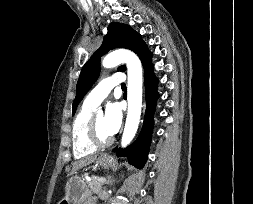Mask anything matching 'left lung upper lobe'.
Here are the masks:
<instances>
[{
  "mask_svg": "<svg viewBox=\"0 0 253 204\" xmlns=\"http://www.w3.org/2000/svg\"><path fill=\"white\" fill-rule=\"evenodd\" d=\"M123 47L135 52L142 60L148 49L139 33L126 24L112 22L108 26V32L104 37L101 47L85 63L76 86V97L73 102V114L80 101L89 91L99 76L101 56L108 51ZM126 67L121 66L118 71H125Z\"/></svg>",
  "mask_w": 253,
  "mask_h": 204,
  "instance_id": "left-lung-upper-lobe-1",
  "label": "left lung upper lobe"
}]
</instances>
